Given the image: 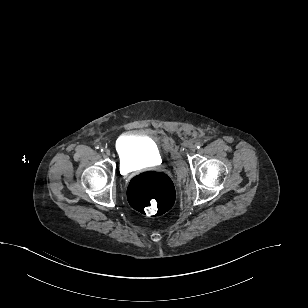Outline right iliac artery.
Instances as JSON below:
<instances>
[{
  "label": "right iliac artery",
  "mask_w": 308,
  "mask_h": 308,
  "mask_svg": "<svg viewBox=\"0 0 308 308\" xmlns=\"http://www.w3.org/2000/svg\"><path fill=\"white\" fill-rule=\"evenodd\" d=\"M97 149H100L101 152H103V150H104L103 148H99V147H97Z\"/></svg>",
  "instance_id": "right-iliac-artery-1"
}]
</instances>
